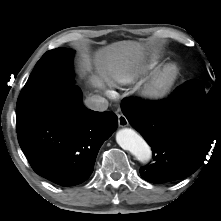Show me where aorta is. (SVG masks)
<instances>
[{
	"instance_id": "aorta-1",
	"label": "aorta",
	"mask_w": 221,
	"mask_h": 221,
	"mask_svg": "<svg viewBox=\"0 0 221 221\" xmlns=\"http://www.w3.org/2000/svg\"><path fill=\"white\" fill-rule=\"evenodd\" d=\"M116 141L122 149L129 151L140 162H147L152 157L149 145L133 129H120L116 133Z\"/></svg>"
}]
</instances>
